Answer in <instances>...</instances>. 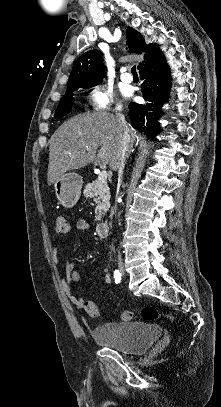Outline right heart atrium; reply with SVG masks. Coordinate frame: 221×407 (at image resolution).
<instances>
[{
    "label": "right heart atrium",
    "instance_id": "1",
    "mask_svg": "<svg viewBox=\"0 0 221 407\" xmlns=\"http://www.w3.org/2000/svg\"><path fill=\"white\" fill-rule=\"evenodd\" d=\"M89 106L95 111L120 110L122 106L115 101L112 91L103 85H94L87 93Z\"/></svg>",
    "mask_w": 221,
    "mask_h": 407
}]
</instances>
